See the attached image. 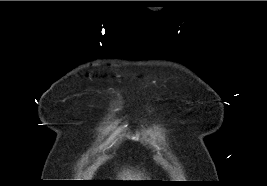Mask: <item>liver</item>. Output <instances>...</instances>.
I'll list each match as a JSON object with an SVG mask.
<instances>
[{
    "instance_id": "1",
    "label": "liver",
    "mask_w": 267,
    "mask_h": 186,
    "mask_svg": "<svg viewBox=\"0 0 267 186\" xmlns=\"http://www.w3.org/2000/svg\"><path fill=\"white\" fill-rule=\"evenodd\" d=\"M93 175V170H91L89 172V176L92 177ZM121 178H127V179H140V175L139 174H134L130 171H125L122 175H121Z\"/></svg>"
}]
</instances>
